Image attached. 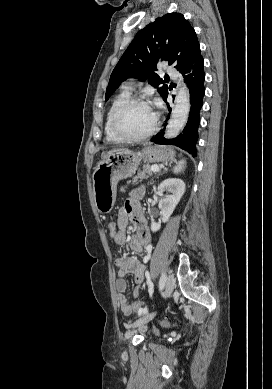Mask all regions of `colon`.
<instances>
[{
    "instance_id": "obj_1",
    "label": "colon",
    "mask_w": 272,
    "mask_h": 389,
    "mask_svg": "<svg viewBox=\"0 0 272 389\" xmlns=\"http://www.w3.org/2000/svg\"><path fill=\"white\" fill-rule=\"evenodd\" d=\"M108 232L110 236L113 238L118 232H119V227L118 223L115 221H111L108 223ZM133 310L138 313H143L146 312L148 309V306L141 302V301H135L131 304ZM161 326L163 327H171L172 324L168 322L167 320H162L160 321Z\"/></svg>"
}]
</instances>
